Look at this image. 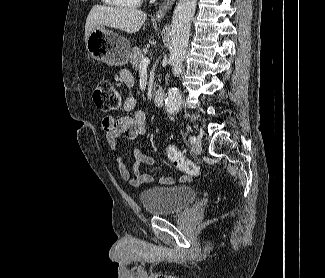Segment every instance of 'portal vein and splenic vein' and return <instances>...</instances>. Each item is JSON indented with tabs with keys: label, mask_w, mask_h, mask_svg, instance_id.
<instances>
[{
	"label": "portal vein and splenic vein",
	"mask_w": 325,
	"mask_h": 278,
	"mask_svg": "<svg viewBox=\"0 0 325 278\" xmlns=\"http://www.w3.org/2000/svg\"><path fill=\"white\" fill-rule=\"evenodd\" d=\"M150 64V59L148 57H143L140 61V68L147 67Z\"/></svg>",
	"instance_id": "18ae733b"
}]
</instances>
